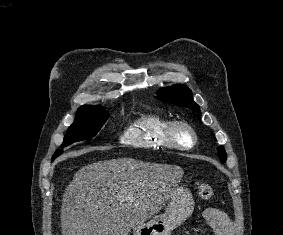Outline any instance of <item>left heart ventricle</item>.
<instances>
[{
  "instance_id": "left-heart-ventricle-1",
  "label": "left heart ventricle",
  "mask_w": 283,
  "mask_h": 235,
  "mask_svg": "<svg viewBox=\"0 0 283 235\" xmlns=\"http://www.w3.org/2000/svg\"><path fill=\"white\" fill-rule=\"evenodd\" d=\"M179 140L184 144H188L190 142V136L185 133L180 134Z\"/></svg>"
}]
</instances>
